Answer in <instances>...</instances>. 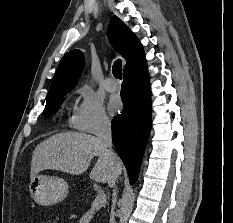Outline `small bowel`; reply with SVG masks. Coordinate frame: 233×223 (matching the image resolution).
Returning <instances> with one entry per match:
<instances>
[{"instance_id":"small-bowel-1","label":"small bowel","mask_w":233,"mask_h":223,"mask_svg":"<svg viewBox=\"0 0 233 223\" xmlns=\"http://www.w3.org/2000/svg\"><path fill=\"white\" fill-rule=\"evenodd\" d=\"M81 223H86V220H85V219H82V220H81Z\"/></svg>"}]
</instances>
